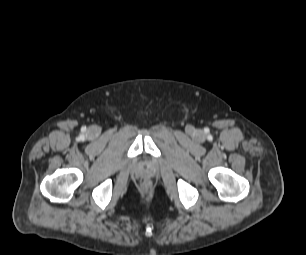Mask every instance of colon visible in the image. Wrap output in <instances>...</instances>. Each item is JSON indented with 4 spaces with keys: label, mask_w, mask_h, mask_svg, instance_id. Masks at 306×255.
Masks as SVG:
<instances>
[{
    "label": "colon",
    "mask_w": 306,
    "mask_h": 255,
    "mask_svg": "<svg viewBox=\"0 0 306 255\" xmlns=\"http://www.w3.org/2000/svg\"><path fill=\"white\" fill-rule=\"evenodd\" d=\"M148 185H147V183H145V187H147Z\"/></svg>",
    "instance_id": "colon-1"
}]
</instances>
